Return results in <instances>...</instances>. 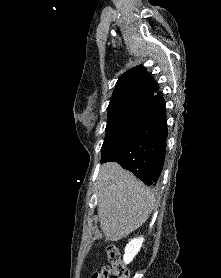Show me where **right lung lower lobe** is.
Returning <instances> with one entry per match:
<instances>
[{
    "label": "right lung lower lobe",
    "instance_id": "1",
    "mask_svg": "<svg viewBox=\"0 0 221 278\" xmlns=\"http://www.w3.org/2000/svg\"><path fill=\"white\" fill-rule=\"evenodd\" d=\"M147 105L154 112L128 138L106 154L101 163L116 161L150 186L156 184L163 168L168 131L163 95L152 97Z\"/></svg>",
    "mask_w": 221,
    "mask_h": 278
}]
</instances>
